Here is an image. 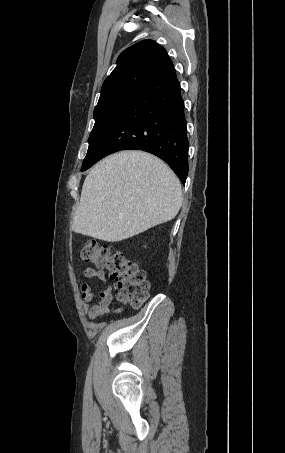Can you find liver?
Listing matches in <instances>:
<instances>
[{"label": "liver", "mask_w": 285, "mask_h": 453, "mask_svg": "<svg viewBox=\"0 0 285 453\" xmlns=\"http://www.w3.org/2000/svg\"><path fill=\"white\" fill-rule=\"evenodd\" d=\"M182 205L174 172L142 151H122L101 160L85 178L72 230L117 242L172 220Z\"/></svg>", "instance_id": "obj_1"}]
</instances>
